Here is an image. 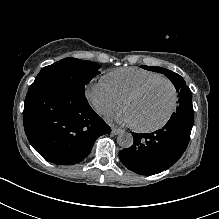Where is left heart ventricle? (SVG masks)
<instances>
[{
	"instance_id": "left-heart-ventricle-1",
	"label": "left heart ventricle",
	"mask_w": 219,
	"mask_h": 219,
	"mask_svg": "<svg viewBox=\"0 0 219 219\" xmlns=\"http://www.w3.org/2000/svg\"><path fill=\"white\" fill-rule=\"evenodd\" d=\"M171 101L170 85L166 82H159L129 101L126 110L133 114L137 126L149 127L163 120Z\"/></svg>"
}]
</instances>
